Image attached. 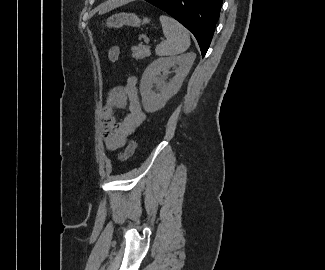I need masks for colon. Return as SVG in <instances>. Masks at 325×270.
<instances>
[{
    "mask_svg": "<svg viewBox=\"0 0 325 270\" xmlns=\"http://www.w3.org/2000/svg\"><path fill=\"white\" fill-rule=\"evenodd\" d=\"M120 56V48L118 46H112L109 49L108 57L111 62H116L119 59ZM136 149V142L134 140H131L129 144L127 145L124 152L119 154V160L120 161H126L128 158H130L134 151Z\"/></svg>",
    "mask_w": 325,
    "mask_h": 270,
    "instance_id": "colon-1",
    "label": "colon"
}]
</instances>
